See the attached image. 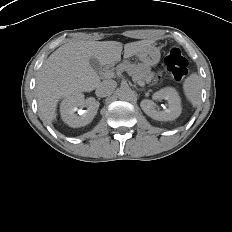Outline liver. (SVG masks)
Instances as JSON below:
<instances>
[{
	"label": "liver",
	"instance_id": "1",
	"mask_svg": "<svg viewBox=\"0 0 232 232\" xmlns=\"http://www.w3.org/2000/svg\"><path fill=\"white\" fill-rule=\"evenodd\" d=\"M154 41L141 40L124 45V58L137 55ZM123 44L117 41H73L54 51L42 66L36 82L38 111L47 123L56 119L59 100L76 92L93 91L100 78L90 65L94 57L100 65L120 61Z\"/></svg>",
	"mask_w": 232,
	"mask_h": 232
}]
</instances>
